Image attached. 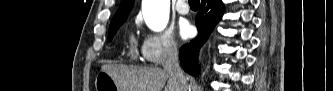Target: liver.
I'll use <instances>...</instances> for the list:
<instances>
[{
  "mask_svg": "<svg viewBox=\"0 0 333 91\" xmlns=\"http://www.w3.org/2000/svg\"><path fill=\"white\" fill-rule=\"evenodd\" d=\"M102 71L108 73L124 91H179L177 81L170 79L169 74L158 67H136L105 64ZM188 89V82L186 78Z\"/></svg>",
  "mask_w": 333,
  "mask_h": 91,
  "instance_id": "6515ba94",
  "label": "liver"
}]
</instances>
